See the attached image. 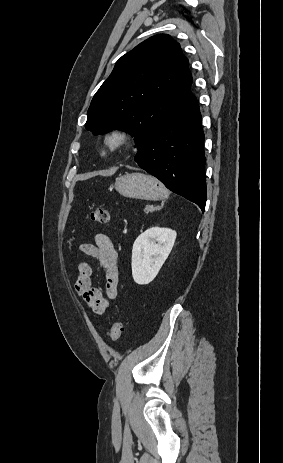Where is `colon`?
<instances>
[{"label": "colon", "mask_w": 283, "mask_h": 463, "mask_svg": "<svg viewBox=\"0 0 283 463\" xmlns=\"http://www.w3.org/2000/svg\"><path fill=\"white\" fill-rule=\"evenodd\" d=\"M110 217V211L105 208H95L89 213V220L96 224H107L110 221ZM123 331V323L121 321H116L111 328V340L117 342L121 338Z\"/></svg>", "instance_id": "5ec220e1"}]
</instances>
